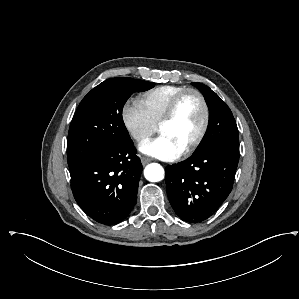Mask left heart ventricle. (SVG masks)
<instances>
[{
  "label": "left heart ventricle",
  "instance_id": "b2bd125f",
  "mask_svg": "<svg viewBox=\"0 0 299 299\" xmlns=\"http://www.w3.org/2000/svg\"><path fill=\"white\" fill-rule=\"evenodd\" d=\"M202 121V104L196 95L190 94L182 100L174 119L162 126L159 133L184 150L198 134Z\"/></svg>",
  "mask_w": 299,
  "mask_h": 299
}]
</instances>
